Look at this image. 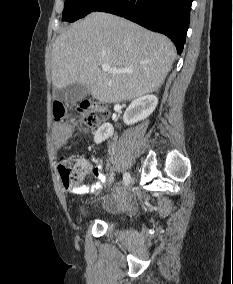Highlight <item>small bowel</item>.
I'll list each match as a JSON object with an SVG mask.
<instances>
[{"instance_id":"c3829d8e","label":"small bowel","mask_w":233,"mask_h":284,"mask_svg":"<svg viewBox=\"0 0 233 284\" xmlns=\"http://www.w3.org/2000/svg\"><path fill=\"white\" fill-rule=\"evenodd\" d=\"M72 130L70 127L65 125H59L56 129V136L59 143H65L71 136ZM76 165L79 167L82 175L92 174L96 179L90 187L79 186V187H65L67 191L76 194L85 193H99L107 181L106 175L103 173L102 167L100 165L99 159L96 156H92L90 160L85 158L74 159ZM109 182H112V175L108 178ZM117 206L122 205L120 201H116ZM112 206V205H111Z\"/></svg>"}]
</instances>
